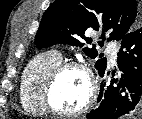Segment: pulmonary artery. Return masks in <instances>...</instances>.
<instances>
[{
    "label": "pulmonary artery",
    "instance_id": "1",
    "mask_svg": "<svg viewBox=\"0 0 142 119\" xmlns=\"http://www.w3.org/2000/svg\"><path fill=\"white\" fill-rule=\"evenodd\" d=\"M108 52L110 54V61L116 63L117 61V47L111 44L107 46Z\"/></svg>",
    "mask_w": 142,
    "mask_h": 119
}]
</instances>
